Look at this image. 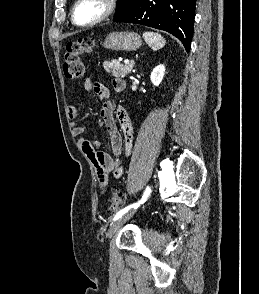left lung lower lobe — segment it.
I'll return each mask as SVG.
<instances>
[{
  "label": "left lung lower lobe",
  "mask_w": 259,
  "mask_h": 294,
  "mask_svg": "<svg viewBox=\"0 0 259 294\" xmlns=\"http://www.w3.org/2000/svg\"><path fill=\"white\" fill-rule=\"evenodd\" d=\"M196 0H136L134 7L114 22L137 23L167 31L189 52L194 30Z\"/></svg>",
  "instance_id": "left-lung-lower-lobe-1"
}]
</instances>
